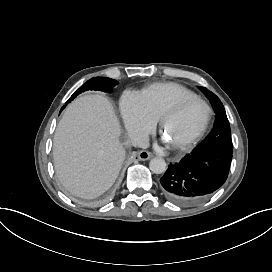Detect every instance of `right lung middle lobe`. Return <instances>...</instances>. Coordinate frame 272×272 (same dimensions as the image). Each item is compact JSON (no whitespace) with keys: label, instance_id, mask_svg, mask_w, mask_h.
Here are the masks:
<instances>
[{"label":"right lung middle lobe","instance_id":"obj_1","mask_svg":"<svg viewBox=\"0 0 272 272\" xmlns=\"http://www.w3.org/2000/svg\"><path fill=\"white\" fill-rule=\"evenodd\" d=\"M118 82L111 78L107 77H94L88 80L83 86H81L75 93L69 98L66 103L72 101L78 94L86 91V90H100L104 92H111L113 87L117 85ZM65 106L62 107V109ZM61 109V110H62Z\"/></svg>","mask_w":272,"mask_h":272}]
</instances>
